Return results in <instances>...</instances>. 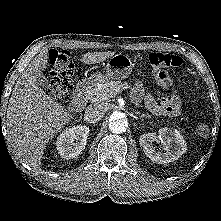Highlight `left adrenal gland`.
<instances>
[{
    "label": "left adrenal gland",
    "mask_w": 221,
    "mask_h": 221,
    "mask_svg": "<svg viewBox=\"0 0 221 221\" xmlns=\"http://www.w3.org/2000/svg\"><path fill=\"white\" fill-rule=\"evenodd\" d=\"M142 117H150V115L142 114V115L140 116V118H142Z\"/></svg>",
    "instance_id": "obj_1"
}]
</instances>
